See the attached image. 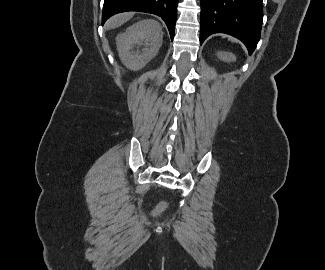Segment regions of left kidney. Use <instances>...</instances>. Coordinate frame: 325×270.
<instances>
[{"label":"left kidney","instance_id":"obj_1","mask_svg":"<svg viewBox=\"0 0 325 270\" xmlns=\"http://www.w3.org/2000/svg\"><path fill=\"white\" fill-rule=\"evenodd\" d=\"M217 56L220 60L222 61H226V62H231V61H235L236 57L234 54L232 53H228V52H218Z\"/></svg>","mask_w":325,"mask_h":270}]
</instances>
